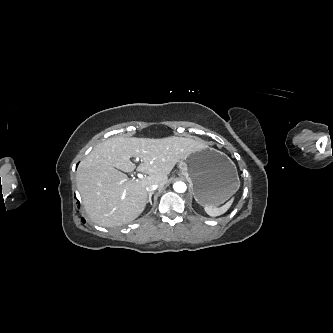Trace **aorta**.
I'll use <instances>...</instances> for the list:
<instances>
[{"mask_svg":"<svg viewBox=\"0 0 333 333\" xmlns=\"http://www.w3.org/2000/svg\"><path fill=\"white\" fill-rule=\"evenodd\" d=\"M173 188L178 193H184L187 189V186L184 182H176L174 183Z\"/></svg>","mask_w":333,"mask_h":333,"instance_id":"obj_1","label":"aorta"}]
</instances>
